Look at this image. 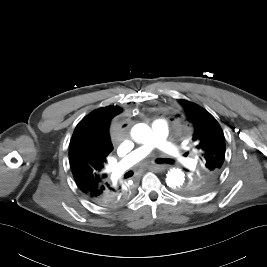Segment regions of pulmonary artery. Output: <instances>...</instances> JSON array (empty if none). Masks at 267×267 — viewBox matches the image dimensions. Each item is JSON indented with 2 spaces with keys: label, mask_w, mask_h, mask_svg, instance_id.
Here are the masks:
<instances>
[{
  "label": "pulmonary artery",
  "mask_w": 267,
  "mask_h": 267,
  "mask_svg": "<svg viewBox=\"0 0 267 267\" xmlns=\"http://www.w3.org/2000/svg\"><path fill=\"white\" fill-rule=\"evenodd\" d=\"M152 131L153 138L150 142L138 146L113 166V172L116 176L121 175L143 158L147 157L155 148H160L181 163H189V160L182 156L181 150L177 145L166 141L169 126L165 120H155L152 123Z\"/></svg>",
  "instance_id": "1"
}]
</instances>
